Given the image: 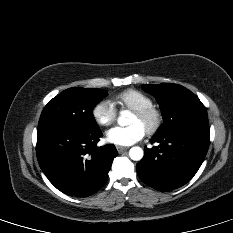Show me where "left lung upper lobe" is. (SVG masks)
<instances>
[{"label": "left lung upper lobe", "instance_id": "obj_1", "mask_svg": "<svg viewBox=\"0 0 233 233\" xmlns=\"http://www.w3.org/2000/svg\"><path fill=\"white\" fill-rule=\"evenodd\" d=\"M143 88L155 96L163 114L164 123L155 136L191 126H209L205 106L187 88L173 83L146 84Z\"/></svg>", "mask_w": 233, "mask_h": 233}]
</instances>
